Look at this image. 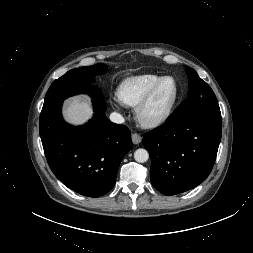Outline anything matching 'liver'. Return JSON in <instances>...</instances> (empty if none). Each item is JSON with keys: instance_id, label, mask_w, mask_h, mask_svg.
<instances>
[{"instance_id": "liver-1", "label": "liver", "mask_w": 253, "mask_h": 253, "mask_svg": "<svg viewBox=\"0 0 253 253\" xmlns=\"http://www.w3.org/2000/svg\"><path fill=\"white\" fill-rule=\"evenodd\" d=\"M92 116V108L87 99L81 97L71 98L67 101L64 117L74 125L84 124Z\"/></svg>"}]
</instances>
